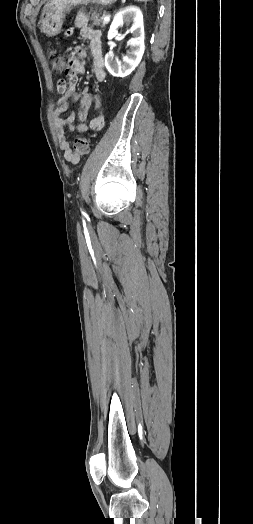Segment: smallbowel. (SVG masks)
<instances>
[{"instance_id":"obj_1","label":"small bowel","mask_w":253,"mask_h":524,"mask_svg":"<svg viewBox=\"0 0 253 524\" xmlns=\"http://www.w3.org/2000/svg\"><path fill=\"white\" fill-rule=\"evenodd\" d=\"M74 25L79 29L81 37L89 42L94 78L98 82L104 81L106 74L104 69L101 32L98 29L89 27L85 16H80L75 21ZM64 37L66 39H71L73 37V32L71 30H66L64 32ZM76 53L79 58L84 59L87 57V52L83 48H78ZM67 62L68 65L64 68V71L69 78V82L62 79L58 83V91L61 94V97L58 100L57 108L54 113V121L59 146L64 152L65 158L68 160L70 144L66 137V130H78L83 132L91 129L93 131H100L104 126V120L102 117L97 116L90 121H87V114L90 107L93 106L95 110H100L102 107V101L99 96H92L87 92V90L82 92L75 91L77 76L85 73V65L80 59L73 56L68 57ZM69 100L79 103L78 112L77 114L71 113L68 117H63V115L69 110ZM76 118L79 120L77 124L75 123Z\"/></svg>"}]
</instances>
